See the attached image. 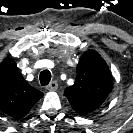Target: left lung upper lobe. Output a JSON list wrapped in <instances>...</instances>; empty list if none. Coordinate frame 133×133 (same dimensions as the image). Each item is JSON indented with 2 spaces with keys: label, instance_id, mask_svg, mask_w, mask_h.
<instances>
[{
  "label": "left lung upper lobe",
  "instance_id": "1",
  "mask_svg": "<svg viewBox=\"0 0 133 133\" xmlns=\"http://www.w3.org/2000/svg\"><path fill=\"white\" fill-rule=\"evenodd\" d=\"M112 90V76L104 59L89 50L81 57L77 66L74 85L65 89L72 108L80 115L96 110Z\"/></svg>",
  "mask_w": 133,
  "mask_h": 133
}]
</instances>
